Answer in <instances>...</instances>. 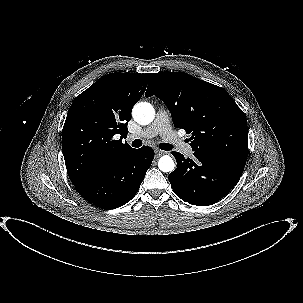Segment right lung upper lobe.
Wrapping results in <instances>:
<instances>
[{
	"mask_svg": "<svg viewBox=\"0 0 303 303\" xmlns=\"http://www.w3.org/2000/svg\"><path fill=\"white\" fill-rule=\"evenodd\" d=\"M153 74L110 73L73 101L62 130L66 169L76 186L135 149L122 143L131 110ZM120 134L119 140L114 135Z\"/></svg>",
	"mask_w": 303,
	"mask_h": 303,
	"instance_id": "right-lung-upper-lobe-1",
	"label": "right lung upper lobe"
}]
</instances>
